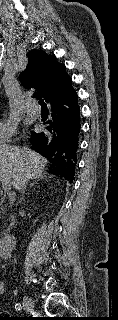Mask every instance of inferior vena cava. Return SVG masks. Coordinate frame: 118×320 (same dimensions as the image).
I'll list each match as a JSON object with an SVG mask.
<instances>
[{
	"label": "inferior vena cava",
	"instance_id": "inferior-vena-cava-1",
	"mask_svg": "<svg viewBox=\"0 0 118 320\" xmlns=\"http://www.w3.org/2000/svg\"><path fill=\"white\" fill-rule=\"evenodd\" d=\"M22 152H23L24 154H30L31 151H30L28 148H23V149H22ZM29 179H30V177H25L24 180H23V183H22V185H21V187H20V190H21V193H22V194H24V190L26 189V185H27ZM21 199H22V198H21Z\"/></svg>",
	"mask_w": 118,
	"mask_h": 320
}]
</instances>
